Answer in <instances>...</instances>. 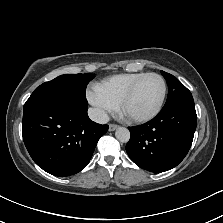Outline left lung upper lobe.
I'll return each mask as SVG.
<instances>
[{"instance_id":"1","label":"left lung upper lobe","mask_w":223,"mask_h":223,"mask_svg":"<svg viewBox=\"0 0 223 223\" xmlns=\"http://www.w3.org/2000/svg\"><path fill=\"white\" fill-rule=\"evenodd\" d=\"M168 84V97L162 110L176 107L195 108L191 92L173 75L161 71Z\"/></svg>"}]
</instances>
